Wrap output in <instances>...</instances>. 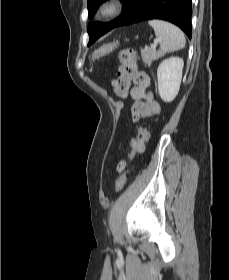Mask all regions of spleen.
<instances>
[{
    "label": "spleen",
    "instance_id": "spleen-1",
    "mask_svg": "<svg viewBox=\"0 0 229 280\" xmlns=\"http://www.w3.org/2000/svg\"><path fill=\"white\" fill-rule=\"evenodd\" d=\"M149 25L154 29L156 39L160 43V52L167 53L184 48L186 40L183 32L175 25L162 21L150 20Z\"/></svg>",
    "mask_w": 229,
    "mask_h": 280
}]
</instances>
